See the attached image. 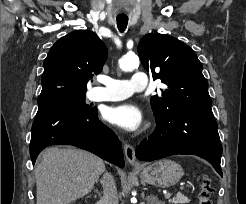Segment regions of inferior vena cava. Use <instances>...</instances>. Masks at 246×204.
I'll list each match as a JSON object with an SVG mask.
<instances>
[{
  "label": "inferior vena cava",
  "mask_w": 246,
  "mask_h": 204,
  "mask_svg": "<svg viewBox=\"0 0 246 204\" xmlns=\"http://www.w3.org/2000/svg\"><path fill=\"white\" fill-rule=\"evenodd\" d=\"M103 197L101 204H118L116 184L109 173H105L102 179Z\"/></svg>",
  "instance_id": "inferior-vena-cava-1"
}]
</instances>
